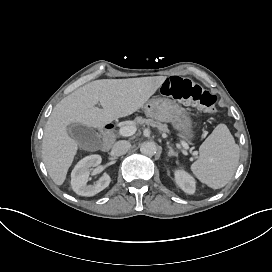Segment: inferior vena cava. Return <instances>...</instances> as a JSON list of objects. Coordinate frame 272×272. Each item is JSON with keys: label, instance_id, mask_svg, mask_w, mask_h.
<instances>
[{"label": "inferior vena cava", "instance_id": "602c4592", "mask_svg": "<svg viewBox=\"0 0 272 272\" xmlns=\"http://www.w3.org/2000/svg\"><path fill=\"white\" fill-rule=\"evenodd\" d=\"M129 149H130V143L125 140H120L114 144L111 154L113 156H121L127 153Z\"/></svg>", "mask_w": 272, "mask_h": 272}]
</instances>
